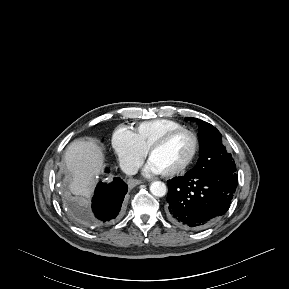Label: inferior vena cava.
<instances>
[{
    "instance_id": "obj_1",
    "label": "inferior vena cava",
    "mask_w": 289,
    "mask_h": 289,
    "mask_svg": "<svg viewBox=\"0 0 289 289\" xmlns=\"http://www.w3.org/2000/svg\"><path fill=\"white\" fill-rule=\"evenodd\" d=\"M121 169L125 174L134 175L138 171V165L133 161H126L121 164Z\"/></svg>"
}]
</instances>
